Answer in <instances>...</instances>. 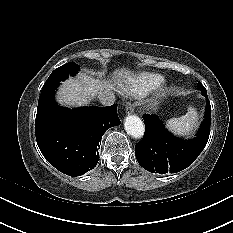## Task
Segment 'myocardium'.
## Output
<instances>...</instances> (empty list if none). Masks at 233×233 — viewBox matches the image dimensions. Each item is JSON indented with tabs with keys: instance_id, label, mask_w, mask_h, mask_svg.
Instances as JSON below:
<instances>
[{
	"instance_id": "1",
	"label": "myocardium",
	"mask_w": 233,
	"mask_h": 233,
	"mask_svg": "<svg viewBox=\"0 0 233 233\" xmlns=\"http://www.w3.org/2000/svg\"><path fill=\"white\" fill-rule=\"evenodd\" d=\"M168 93V89L167 88H161L158 90L157 94H156V98L157 99H162L166 96V94Z\"/></svg>"
}]
</instances>
